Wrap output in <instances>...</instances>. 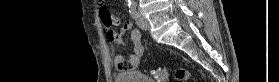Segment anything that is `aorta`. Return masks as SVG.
Here are the masks:
<instances>
[{
	"label": "aorta",
	"instance_id": "1",
	"mask_svg": "<svg viewBox=\"0 0 279 82\" xmlns=\"http://www.w3.org/2000/svg\"><path fill=\"white\" fill-rule=\"evenodd\" d=\"M129 3H130L131 5H133V4H134V0H129Z\"/></svg>",
	"mask_w": 279,
	"mask_h": 82
}]
</instances>
